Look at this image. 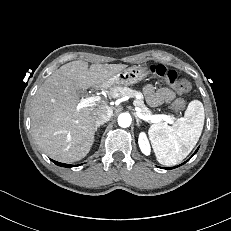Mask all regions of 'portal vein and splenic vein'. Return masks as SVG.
<instances>
[{"instance_id":"obj_1","label":"portal vein and splenic vein","mask_w":231,"mask_h":231,"mask_svg":"<svg viewBox=\"0 0 231 231\" xmlns=\"http://www.w3.org/2000/svg\"><path fill=\"white\" fill-rule=\"evenodd\" d=\"M101 100L100 96H93V97H88L85 98L83 100H81V102L79 103V108L82 107H87V106H93L95 105L97 102H99ZM138 117L142 120L145 121H151V122H158V121H165L169 124L173 123V120L167 116V115H149V116H145L141 113H137Z\"/></svg>"}]
</instances>
